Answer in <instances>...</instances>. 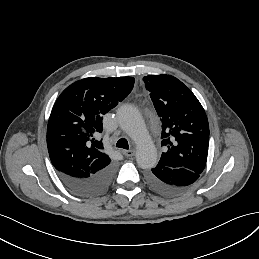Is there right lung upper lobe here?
Here are the masks:
<instances>
[{
  "mask_svg": "<svg viewBox=\"0 0 259 259\" xmlns=\"http://www.w3.org/2000/svg\"><path fill=\"white\" fill-rule=\"evenodd\" d=\"M134 82L132 77H90L62 92L47 126L48 153L57 171L86 178L111 163L98 140L103 115L128 96Z\"/></svg>",
  "mask_w": 259,
  "mask_h": 259,
  "instance_id": "cb5924a9",
  "label": "right lung upper lobe"
}]
</instances>
